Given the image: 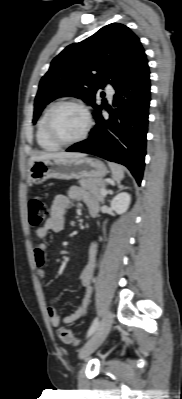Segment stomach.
Masks as SVG:
<instances>
[{
	"label": "stomach",
	"instance_id": "obj_1",
	"mask_svg": "<svg viewBox=\"0 0 182 399\" xmlns=\"http://www.w3.org/2000/svg\"><path fill=\"white\" fill-rule=\"evenodd\" d=\"M106 174L107 168L104 163L95 158H51L31 163L28 170V179L32 184H41L50 178L62 180L101 179Z\"/></svg>",
	"mask_w": 182,
	"mask_h": 399
}]
</instances>
